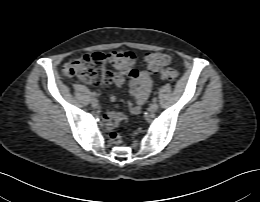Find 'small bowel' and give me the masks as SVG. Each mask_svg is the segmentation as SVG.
Instances as JSON below:
<instances>
[{"label": "small bowel", "instance_id": "1", "mask_svg": "<svg viewBox=\"0 0 260 202\" xmlns=\"http://www.w3.org/2000/svg\"><path fill=\"white\" fill-rule=\"evenodd\" d=\"M130 79V87L132 90V102L130 103L129 111L132 115L138 114L142 105L148 99L152 89V77L147 71H137L130 69L128 72ZM113 82L119 88L123 86L124 79L120 74L114 76ZM110 100L114 102L116 97L110 96ZM105 126L108 130H112L114 127L119 126L125 120V116L118 112H106L101 116Z\"/></svg>", "mask_w": 260, "mask_h": 202}]
</instances>
